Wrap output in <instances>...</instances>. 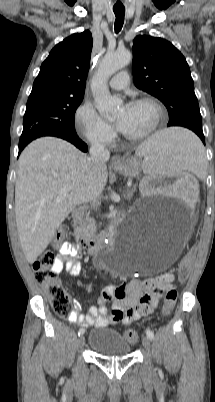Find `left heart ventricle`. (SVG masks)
<instances>
[{"label":"left heart ventricle","instance_id":"obj_1","mask_svg":"<svg viewBox=\"0 0 215 402\" xmlns=\"http://www.w3.org/2000/svg\"><path fill=\"white\" fill-rule=\"evenodd\" d=\"M127 113V128L124 131L128 135H136L145 132L154 119V112L150 105L139 104L122 107L118 113V119Z\"/></svg>","mask_w":215,"mask_h":402}]
</instances>
